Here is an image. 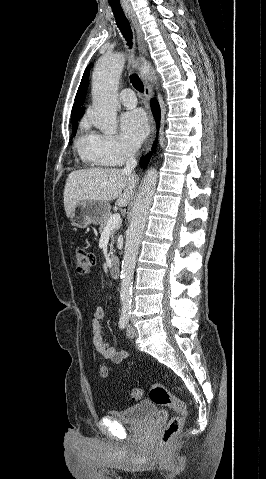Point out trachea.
Here are the masks:
<instances>
[{
  "instance_id": "obj_1",
  "label": "trachea",
  "mask_w": 266,
  "mask_h": 479,
  "mask_svg": "<svg viewBox=\"0 0 266 479\" xmlns=\"http://www.w3.org/2000/svg\"><path fill=\"white\" fill-rule=\"evenodd\" d=\"M112 11H113V14H114V17H115V20H116V24H117L118 28L120 29L123 37L127 41V45L130 48H132V45H133L132 38H133V36H132V30H131L130 23H129L128 19L126 18L122 9H112ZM130 81H131L132 85L135 87V89L137 91H139L141 93L144 91L143 83H142L141 79L139 78V76L136 73H132L130 75Z\"/></svg>"
}]
</instances>
